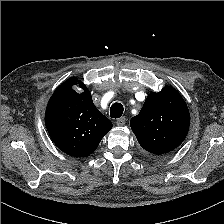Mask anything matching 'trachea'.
Listing matches in <instances>:
<instances>
[{
	"mask_svg": "<svg viewBox=\"0 0 224 224\" xmlns=\"http://www.w3.org/2000/svg\"><path fill=\"white\" fill-rule=\"evenodd\" d=\"M123 105L119 102H115L110 108V116L112 118H119L123 114Z\"/></svg>",
	"mask_w": 224,
	"mask_h": 224,
	"instance_id": "obj_1",
	"label": "trachea"
}]
</instances>
